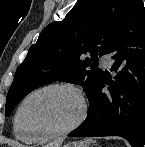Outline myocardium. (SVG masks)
<instances>
[{
	"label": "myocardium",
	"mask_w": 145,
	"mask_h": 147,
	"mask_svg": "<svg viewBox=\"0 0 145 147\" xmlns=\"http://www.w3.org/2000/svg\"><path fill=\"white\" fill-rule=\"evenodd\" d=\"M54 89L68 90L77 96L80 102V106H81L79 115L70 125H68L67 127L63 129L52 131V132H42V133H32V134L28 133V131L23 127L22 119H21L24 106L26 105L28 100L31 99L33 96L41 92L48 91V90H54ZM87 113H88V103H87L84 93L81 91L80 88L70 83H52V84H48L40 88H37L33 90L32 92H30L27 96H25V98L21 101L17 109L16 115H15V121L21 131L31 135V137L34 140L39 141V140H44V139L57 138V137L69 134L70 132L77 129L84 122V120L87 117Z\"/></svg>",
	"instance_id": "f54148a6"
}]
</instances>
